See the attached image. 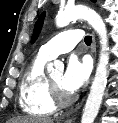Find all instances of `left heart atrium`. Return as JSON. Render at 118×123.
Wrapping results in <instances>:
<instances>
[{"mask_svg": "<svg viewBox=\"0 0 118 123\" xmlns=\"http://www.w3.org/2000/svg\"><path fill=\"white\" fill-rule=\"evenodd\" d=\"M89 74L90 66L87 60L71 56L63 75V88L70 94L78 91L87 82Z\"/></svg>", "mask_w": 118, "mask_h": 123, "instance_id": "39dd6f15", "label": "left heart atrium"}]
</instances>
